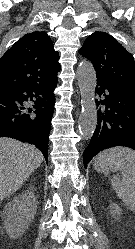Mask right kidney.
Returning <instances> with one entry per match:
<instances>
[{
    "mask_svg": "<svg viewBox=\"0 0 135 249\" xmlns=\"http://www.w3.org/2000/svg\"><path fill=\"white\" fill-rule=\"evenodd\" d=\"M37 201L34 193L27 190L10 201L6 208L4 228L11 238L21 236L34 219Z\"/></svg>",
    "mask_w": 135,
    "mask_h": 249,
    "instance_id": "obj_1",
    "label": "right kidney"
}]
</instances>
